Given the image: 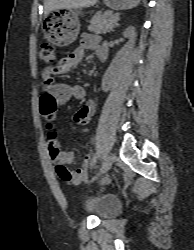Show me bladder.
Wrapping results in <instances>:
<instances>
[{
    "mask_svg": "<svg viewBox=\"0 0 194 250\" xmlns=\"http://www.w3.org/2000/svg\"><path fill=\"white\" fill-rule=\"evenodd\" d=\"M80 207L85 214H91L100 219H105L115 216L119 212L121 205L117 197L102 195L84 198Z\"/></svg>",
    "mask_w": 194,
    "mask_h": 250,
    "instance_id": "bladder-1",
    "label": "bladder"
}]
</instances>
